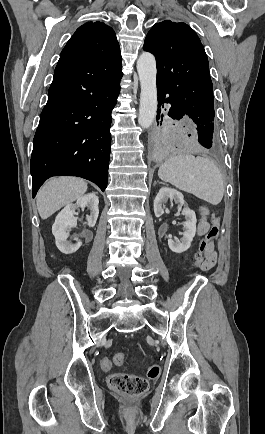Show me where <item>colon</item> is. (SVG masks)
<instances>
[{"mask_svg": "<svg viewBox=\"0 0 265 434\" xmlns=\"http://www.w3.org/2000/svg\"><path fill=\"white\" fill-rule=\"evenodd\" d=\"M221 222L220 214L213 215L211 220V228L205 234L198 252L195 254V265L200 268V262L204 261L205 255H211L204 253L205 247H210L209 242L216 239L219 233V227ZM121 365L124 363V356L121 353H117L113 356V360L102 359L100 367L103 370H109L113 364ZM161 368L157 365H151L146 369V375L148 379L154 380L161 376ZM109 386L117 392L130 395L144 394L149 389L148 380H142V376L135 373L121 372L111 375L108 378Z\"/></svg>", "mask_w": 265, "mask_h": 434, "instance_id": "1", "label": "colon"}]
</instances>
